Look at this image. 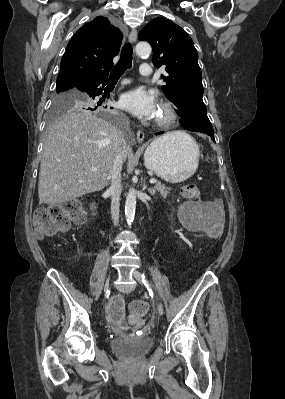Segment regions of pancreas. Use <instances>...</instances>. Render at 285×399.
<instances>
[{
  "mask_svg": "<svg viewBox=\"0 0 285 399\" xmlns=\"http://www.w3.org/2000/svg\"><path fill=\"white\" fill-rule=\"evenodd\" d=\"M154 190L155 192H159L162 197H166L169 193L170 188L158 182L155 184Z\"/></svg>",
  "mask_w": 285,
  "mask_h": 399,
  "instance_id": "obj_1",
  "label": "pancreas"
}]
</instances>
